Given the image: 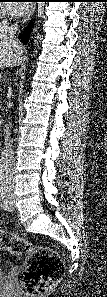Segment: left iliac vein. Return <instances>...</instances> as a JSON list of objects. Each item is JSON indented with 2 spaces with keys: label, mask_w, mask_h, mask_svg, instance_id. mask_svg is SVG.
<instances>
[{
  "label": "left iliac vein",
  "mask_w": 107,
  "mask_h": 297,
  "mask_svg": "<svg viewBox=\"0 0 107 297\" xmlns=\"http://www.w3.org/2000/svg\"><path fill=\"white\" fill-rule=\"evenodd\" d=\"M6 205H5V209L8 211H12L14 209V201H13V196L12 195H8V197L6 198Z\"/></svg>",
  "instance_id": "left-iliac-vein-1"
}]
</instances>
